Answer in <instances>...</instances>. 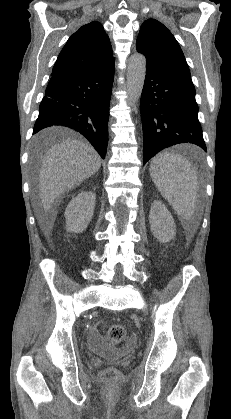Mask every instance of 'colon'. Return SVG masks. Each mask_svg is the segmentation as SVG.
<instances>
[{
  "label": "colon",
  "mask_w": 231,
  "mask_h": 419,
  "mask_svg": "<svg viewBox=\"0 0 231 419\" xmlns=\"http://www.w3.org/2000/svg\"><path fill=\"white\" fill-rule=\"evenodd\" d=\"M126 337V329L120 323L112 324L107 331V340L110 345L116 346L124 341ZM118 371L114 367H108L100 372L101 381L107 386L112 387L116 384Z\"/></svg>",
  "instance_id": "colon-1"
}]
</instances>
